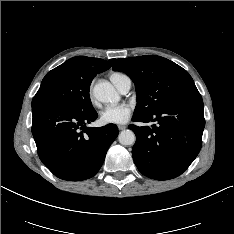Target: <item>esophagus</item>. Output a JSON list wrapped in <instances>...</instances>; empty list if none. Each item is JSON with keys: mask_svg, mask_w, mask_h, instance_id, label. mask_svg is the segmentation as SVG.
Wrapping results in <instances>:
<instances>
[{"mask_svg": "<svg viewBox=\"0 0 234 234\" xmlns=\"http://www.w3.org/2000/svg\"><path fill=\"white\" fill-rule=\"evenodd\" d=\"M118 129H119V130H124V129H126V126H125V125H119V126H118Z\"/></svg>", "mask_w": 234, "mask_h": 234, "instance_id": "obj_1", "label": "esophagus"}]
</instances>
